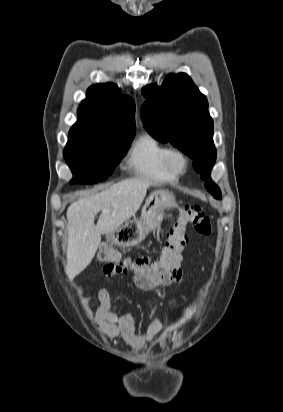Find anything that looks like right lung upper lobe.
Wrapping results in <instances>:
<instances>
[{"mask_svg":"<svg viewBox=\"0 0 283 412\" xmlns=\"http://www.w3.org/2000/svg\"><path fill=\"white\" fill-rule=\"evenodd\" d=\"M74 127L85 134L114 136L135 133V104L111 83L92 85L78 109Z\"/></svg>","mask_w":283,"mask_h":412,"instance_id":"right-lung-upper-lobe-1","label":"right lung upper lobe"}]
</instances>
